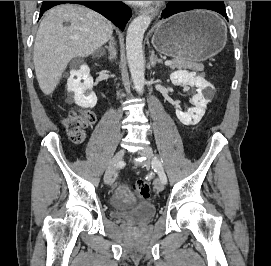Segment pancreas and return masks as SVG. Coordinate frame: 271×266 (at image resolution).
<instances>
[{"label": "pancreas", "instance_id": "pancreas-1", "mask_svg": "<svg viewBox=\"0 0 271 266\" xmlns=\"http://www.w3.org/2000/svg\"><path fill=\"white\" fill-rule=\"evenodd\" d=\"M172 62H173V64L171 65L172 69L190 68L198 72L204 70V66L200 63L176 60V59L172 60Z\"/></svg>", "mask_w": 271, "mask_h": 266}]
</instances>
